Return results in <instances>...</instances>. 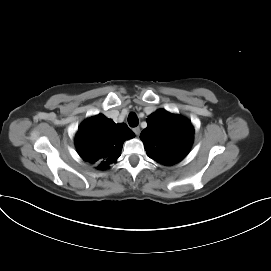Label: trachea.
I'll use <instances>...</instances> for the list:
<instances>
[{
	"label": "trachea",
	"instance_id": "3493384b",
	"mask_svg": "<svg viewBox=\"0 0 271 271\" xmlns=\"http://www.w3.org/2000/svg\"><path fill=\"white\" fill-rule=\"evenodd\" d=\"M128 123L131 127H136L139 123L138 117L135 113L131 112L128 116Z\"/></svg>",
	"mask_w": 271,
	"mask_h": 271
}]
</instances>
